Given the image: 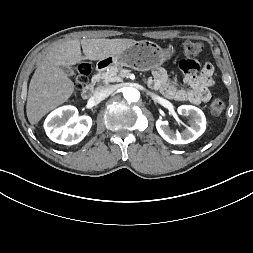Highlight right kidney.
Instances as JSON below:
<instances>
[{
    "mask_svg": "<svg viewBox=\"0 0 253 253\" xmlns=\"http://www.w3.org/2000/svg\"><path fill=\"white\" fill-rule=\"evenodd\" d=\"M91 126V117H78L77 108L71 105L54 110L44 122L47 136L52 141L64 145H74L82 141Z\"/></svg>",
    "mask_w": 253,
    "mask_h": 253,
    "instance_id": "right-kidney-1",
    "label": "right kidney"
}]
</instances>
